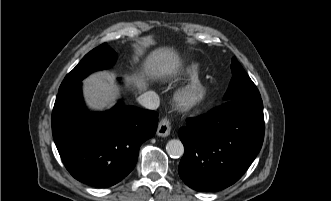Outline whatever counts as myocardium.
<instances>
[{"label":"myocardium","instance_id":"myocardium-1","mask_svg":"<svg viewBox=\"0 0 331 201\" xmlns=\"http://www.w3.org/2000/svg\"><path fill=\"white\" fill-rule=\"evenodd\" d=\"M200 99V91L194 90L191 93L179 92L177 100L181 105L189 106L196 104Z\"/></svg>","mask_w":331,"mask_h":201}]
</instances>
